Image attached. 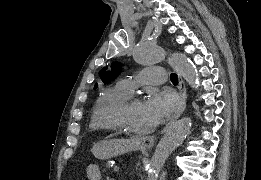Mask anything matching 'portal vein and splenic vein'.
<instances>
[{"instance_id":"obj_1","label":"portal vein and splenic vein","mask_w":261,"mask_h":180,"mask_svg":"<svg viewBox=\"0 0 261 180\" xmlns=\"http://www.w3.org/2000/svg\"><path fill=\"white\" fill-rule=\"evenodd\" d=\"M113 172L114 173H119L120 172V165H114L113 166Z\"/></svg>"}]
</instances>
